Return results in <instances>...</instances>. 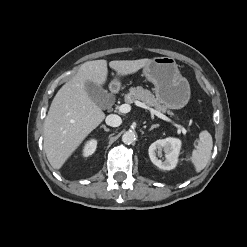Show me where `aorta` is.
Listing matches in <instances>:
<instances>
[{
	"instance_id": "1",
	"label": "aorta",
	"mask_w": 247,
	"mask_h": 247,
	"mask_svg": "<svg viewBox=\"0 0 247 247\" xmlns=\"http://www.w3.org/2000/svg\"><path fill=\"white\" fill-rule=\"evenodd\" d=\"M136 139H137L136 133L132 130H128L122 135V141L125 144H132L135 142Z\"/></svg>"
}]
</instances>
